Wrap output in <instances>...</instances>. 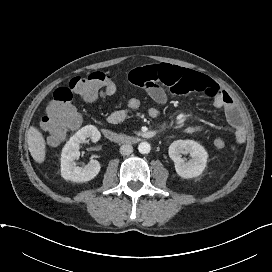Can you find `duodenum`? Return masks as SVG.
<instances>
[{
	"mask_svg": "<svg viewBox=\"0 0 272 272\" xmlns=\"http://www.w3.org/2000/svg\"><path fill=\"white\" fill-rule=\"evenodd\" d=\"M102 134L107 140L114 143L136 144L142 140L139 136L124 135L109 129H102Z\"/></svg>",
	"mask_w": 272,
	"mask_h": 272,
	"instance_id": "1",
	"label": "duodenum"
}]
</instances>
